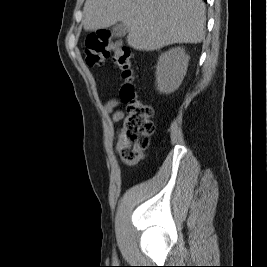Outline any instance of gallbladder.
I'll use <instances>...</instances> for the list:
<instances>
[{
    "mask_svg": "<svg viewBox=\"0 0 267 267\" xmlns=\"http://www.w3.org/2000/svg\"><path fill=\"white\" fill-rule=\"evenodd\" d=\"M128 32V28L124 24H116L111 29L113 37L121 38L124 37Z\"/></svg>",
    "mask_w": 267,
    "mask_h": 267,
    "instance_id": "bac80fb5",
    "label": "gallbladder"
}]
</instances>
